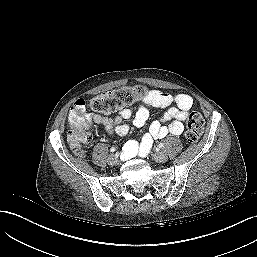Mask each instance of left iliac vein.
Segmentation results:
<instances>
[{
    "mask_svg": "<svg viewBox=\"0 0 257 257\" xmlns=\"http://www.w3.org/2000/svg\"><path fill=\"white\" fill-rule=\"evenodd\" d=\"M153 159L156 161V162H159V163H163V162H166L168 157L165 153H162V152H158V153H155L153 155Z\"/></svg>",
    "mask_w": 257,
    "mask_h": 257,
    "instance_id": "left-iliac-vein-1",
    "label": "left iliac vein"
}]
</instances>
